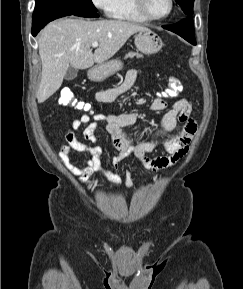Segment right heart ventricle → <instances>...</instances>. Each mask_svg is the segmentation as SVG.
<instances>
[{"mask_svg": "<svg viewBox=\"0 0 243 289\" xmlns=\"http://www.w3.org/2000/svg\"><path fill=\"white\" fill-rule=\"evenodd\" d=\"M108 14L117 20L138 23L148 21V19L139 13L134 0H113Z\"/></svg>", "mask_w": 243, "mask_h": 289, "instance_id": "obj_1", "label": "right heart ventricle"}]
</instances>
